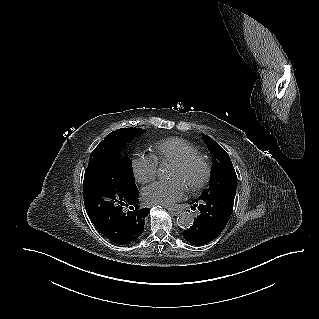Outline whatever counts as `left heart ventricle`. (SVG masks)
I'll return each instance as SVG.
<instances>
[{
	"label": "left heart ventricle",
	"mask_w": 319,
	"mask_h": 319,
	"mask_svg": "<svg viewBox=\"0 0 319 319\" xmlns=\"http://www.w3.org/2000/svg\"><path fill=\"white\" fill-rule=\"evenodd\" d=\"M204 167L200 161H194L185 168L170 165L168 178L180 179L186 186L197 183L203 176Z\"/></svg>",
	"instance_id": "left-heart-ventricle-1"
}]
</instances>
